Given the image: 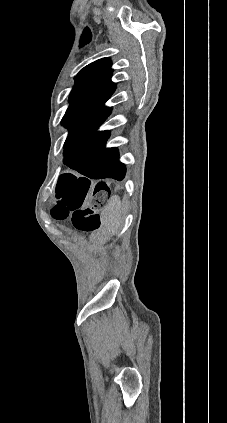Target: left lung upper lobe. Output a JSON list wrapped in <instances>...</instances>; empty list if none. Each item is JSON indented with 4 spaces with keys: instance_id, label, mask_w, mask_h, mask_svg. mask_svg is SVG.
Instances as JSON below:
<instances>
[{
    "instance_id": "left-lung-upper-lobe-1",
    "label": "left lung upper lobe",
    "mask_w": 227,
    "mask_h": 423,
    "mask_svg": "<svg viewBox=\"0 0 227 423\" xmlns=\"http://www.w3.org/2000/svg\"><path fill=\"white\" fill-rule=\"evenodd\" d=\"M111 75V61L102 58L84 67L74 78L75 86L69 96L70 106L62 119L63 125L70 129L69 135L110 114V108L105 107L104 103L116 87L110 80Z\"/></svg>"
}]
</instances>
